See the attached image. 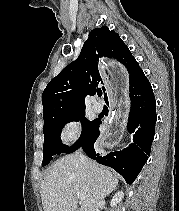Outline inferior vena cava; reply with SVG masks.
Instances as JSON below:
<instances>
[{
	"instance_id": "1",
	"label": "inferior vena cava",
	"mask_w": 179,
	"mask_h": 211,
	"mask_svg": "<svg viewBox=\"0 0 179 211\" xmlns=\"http://www.w3.org/2000/svg\"><path fill=\"white\" fill-rule=\"evenodd\" d=\"M79 158H80L81 163H82L84 166L89 167V165H90L89 160H88V159L86 158V156H84L81 152H80V154H79Z\"/></svg>"
}]
</instances>
